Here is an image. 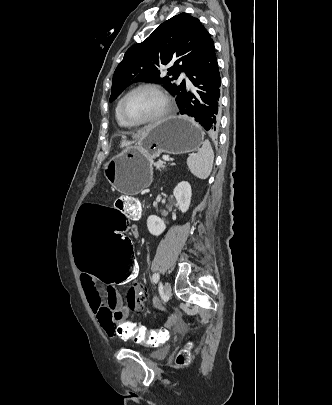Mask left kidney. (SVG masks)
<instances>
[{
    "instance_id": "5707ae66",
    "label": "left kidney",
    "mask_w": 332,
    "mask_h": 405,
    "mask_svg": "<svg viewBox=\"0 0 332 405\" xmlns=\"http://www.w3.org/2000/svg\"><path fill=\"white\" fill-rule=\"evenodd\" d=\"M173 194L177 200V205L180 211L182 213L187 212L192 196L191 185L187 181H182L174 188ZM147 227L150 234L154 236H159L166 229L164 221L156 215L148 217Z\"/></svg>"
}]
</instances>
